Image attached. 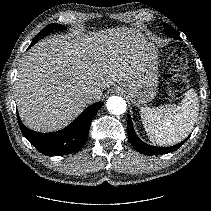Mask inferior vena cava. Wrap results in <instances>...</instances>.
Returning a JSON list of instances; mask_svg holds the SVG:
<instances>
[{
    "instance_id": "obj_1",
    "label": "inferior vena cava",
    "mask_w": 211,
    "mask_h": 211,
    "mask_svg": "<svg viewBox=\"0 0 211 211\" xmlns=\"http://www.w3.org/2000/svg\"><path fill=\"white\" fill-rule=\"evenodd\" d=\"M100 99L99 95L94 91H87L84 100L87 104L95 103Z\"/></svg>"
}]
</instances>
